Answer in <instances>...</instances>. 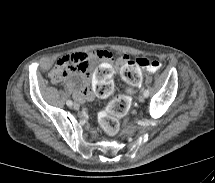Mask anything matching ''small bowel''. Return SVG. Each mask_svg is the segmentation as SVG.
<instances>
[{
  "instance_id": "obj_1",
  "label": "small bowel",
  "mask_w": 215,
  "mask_h": 183,
  "mask_svg": "<svg viewBox=\"0 0 215 183\" xmlns=\"http://www.w3.org/2000/svg\"><path fill=\"white\" fill-rule=\"evenodd\" d=\"M90 58L105 60L92 74L88 68V60ZM113 59V55L104 49H97L89 54L74 53L59 59L58 63L66 64L71 69L69 76L65 79H69L70 76L80 77V82L70 80V83L76 87L74 97L77 101L83 102L86 99H91L92 96L99 100H106L112 95L114 91L112 76L115 74L116 68L109 61ZM116 61L119 65H123L129 61V56L127 54H121L116 58ZM61 79L54 80L52 71L51 80L53 82H58ZM89 83L91 84L90 91L87 90Z\"/></svg>"
}]
</instances>
